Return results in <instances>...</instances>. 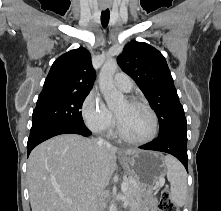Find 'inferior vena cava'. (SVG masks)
Returning <instances> with one entry per match:
<instances>
[{
	"label": "inferior vena cava",
	"mask_w": 221,
	"mask_h": 211,
	"mask_svg": "<svg viewBox=\"0 0 221 211\" xmlns=\"http://www.w3.org/2000/svg\"><path fill=\"white\" fill-rule=\"evenodd\" d=\"M99 142L104 143L106 145H110L108 142H105V140L102 138H99ZM90 211H103L102 203L99 201L93 202L91 205Z\"/></svg>",
	"instance_id": "inferior-vena-cava-1"
}]
</instances>
